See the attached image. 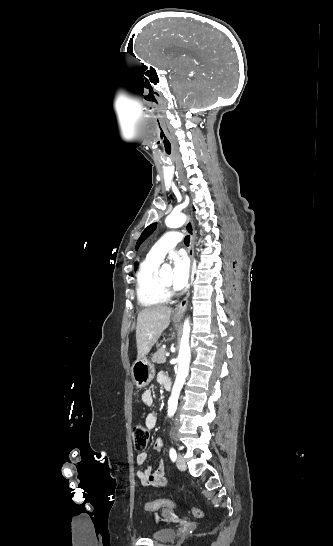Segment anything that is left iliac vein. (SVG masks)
Listing matches in <instances>:
<instances>
[{"mask_svg":"<svg viewBox=\"0 0 333 546\" xmlns=\"http://www.w3.org/2000/svg\"><path fill=\"white\" fill-rule=\"evenodd\" d=\"M176 465H177L179 470H181V471L186 470V463H185V460H184V458H183V456L181 454H178V457H177V460H176Z\"/></svg>","mask_w":333,"mask_h":546,"instance_id":"obj_1","label":"left iliac vein"}]
</instances>
